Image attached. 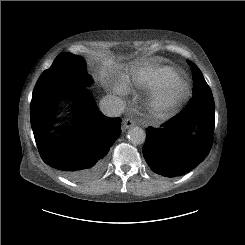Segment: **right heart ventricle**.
<instances>
[{"instance_id":"obj_1","label":"right heart ventricle","mask_w":245,"mask_h":245,"mask_svg":"<svg viewBox=\"0 0 245 245\" xmlns=\"http://www.w3.org/2000/svg\"><path fill=\"white\" fill-rule=\"evenodd\" d=\"M178 77L170 68L156 70H142L136 73L131 82L134 86L146 89H162L169 87Z\"/></svg>"}]
</instances>
